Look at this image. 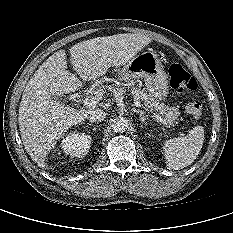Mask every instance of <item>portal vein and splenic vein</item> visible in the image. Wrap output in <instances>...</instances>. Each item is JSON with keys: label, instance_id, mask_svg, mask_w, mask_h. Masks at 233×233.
<instances>
[{"label": "portal vein and splenic vein", "instance_id": "portal-vein-and-splenic-vein-1", "mask_svg": "<svg viewBox=\"0 0 233 233\" xmlns=\"http://www.w3.org/2000/svg\"><path fill=\"white\" fill-rule=\"evenodd\" d=\"M99 100H100V97H99V96H97V95H91V96H89V97H86V98L83 100V104H84L85 106L90 107V106L96 105V104L99 102ZM134 105H135L136 107H143V105L141 104L140 101H135V102H134ZM143 108H145V107H143ZM153 117H154L156 120L162 122L163 124H166V121H165L161 116H159L158 114L153 113Z\"/></svg>", "mask_w": 233, "mask_h": 233}]
</instances>
